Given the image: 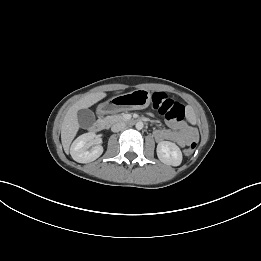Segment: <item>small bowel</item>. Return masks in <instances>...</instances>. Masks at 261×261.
I'll return each instance as SVG.
<instances>
[{"label": "small bowel", "mask_w": 261, "mask_h": 261, "mask_svg": "<svg viewBox=\"0 0 261 261\" xmlns=\"http://www.w3.org/2000/svg\"><path fill=\"white\" fill-rule=\"evenodd\" d=\"M169 125L171 129H159L154 132L157 141L170 140L185 147L197 139V133L193 128L174 121H170Z\"/></svg>", "instance_id": "c3829d8e"}]
</instances>
